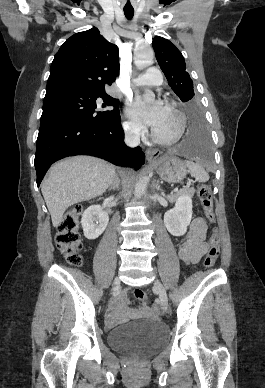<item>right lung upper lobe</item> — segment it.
Instances as JSON below:
<instances>
[{
    "label": "right lung upper lobe",
    "mask_w": 265,
    "mask_h": 388,
    "mask_svg": "<svg viewBox=\"0 0 265 388\" xmlns=\"http://www.w3.org/2000/svg\"><path fill=\"white\" fill-rule=\"evenodd\" d=\"M118 60V47L100 35L97 28L74 34L54 57L45 96L103 91L119 72Z\"/></svg>",
    "instance_id": "right-lung-upper-lobe-1"
}]
</instances>
